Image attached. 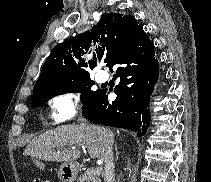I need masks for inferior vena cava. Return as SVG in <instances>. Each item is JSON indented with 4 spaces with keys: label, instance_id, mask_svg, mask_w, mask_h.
Segmentation results:
<instances>
[{
    "label": "inferior vena cava",
    "instance_id": "1",
    "mask_svg": "<svg viewBox=\"0 0 211 182\" xmlns=\"http://www.w3.org/2000/svg\"><path fill=\"white\" fill-rule=\"evenodd\" d=\"M98 133H102V140L104 143V153L102 160L105 163V182H114V156H113V145L109 140L108 131L106 129L98 130Z\"/></svg>",
    "mask_w": 211,
    "mask_h": 182
}]
</instances>
